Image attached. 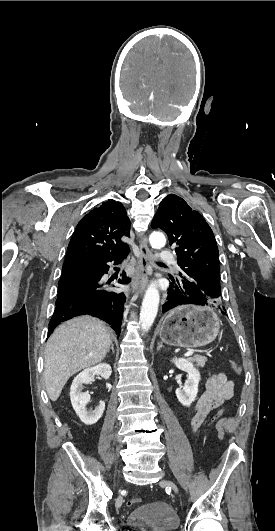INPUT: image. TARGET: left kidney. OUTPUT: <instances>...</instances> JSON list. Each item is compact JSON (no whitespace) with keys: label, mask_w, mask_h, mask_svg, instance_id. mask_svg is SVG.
<instances>
[{"label":"left kidney","mask_w":275,"mask_h":531,"mask_svg":"<svg viewBox=\"0 0 275 531\" xmlns=\"http://www.w3.org/2000/svg\"><path fill=\"white\" fill-rule=\"evenodd\" d=\"M172 363H174L177 369L185 371V373H188L189 375L187 381L184 383V387L176 389L175 393L178 401H180L184 407H190L191 403H193L197 397L198 385L201 379L200 373L198 369L193 367L190 361H187V359H173Z\"/></svg>","instance_id":"5707ae66"}]
</instances>
